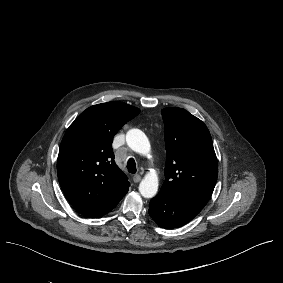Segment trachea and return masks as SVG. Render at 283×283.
Wrapping results in <instances>:
<instances>
[{
  "label": "trachea",
  "mask_w": 283,
  "mask_h": 283,
  "mask_svg": "<svg viewBox=\"0 0 283 283\" xmlns=\"http://www.w3.org/2000/svg\"><path fill=\"white\" fill-rule=\"evenodd\" d=\"M126 168L129 173L135 174L137 172L136 163L133 158H130L127 162Z\"/></svg>",
  "instance_id": "1"
}]
</instances>
